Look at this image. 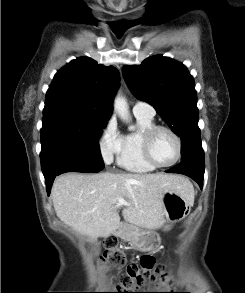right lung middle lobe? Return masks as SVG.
I'll return each mask as SVG.
<instances>
[{
	"label": "right lung middle lobe",
	"instance_id": "1",
	"mask_svg": "<svg viewBox=\"0 0 245 293\" xmlns=\"http://www.w3.org/2000/svg\"><path fill=\"white\" fill-rule=\"evenodd\" d=\"M105 124L72 116H44L40 154L44 177L67 165L104 168L98 139Z\"/></svg>",
	"mask_w": 245,
	"mask_h": 293
}]
</instances>
